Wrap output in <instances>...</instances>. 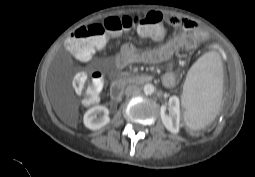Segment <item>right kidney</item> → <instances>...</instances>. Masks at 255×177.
Masks as SVG:
<instances>
[{"label":"right kidney","mask_w":255,"mask_h":177,"mask_svg":"<svg viewBox=\"0 0 255 177\" xmlns=\"http://www.w3.org/2000/svg\"><path fill=\"white\" fill-rule=\"evenodd\" d=\"M108 114L105 106H94L84 114V125L90 130H98L110 122Z\"/></svg>","instance_id":"right-kidney-1"}]
</instances>
